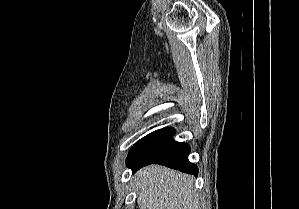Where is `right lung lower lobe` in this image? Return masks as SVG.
<instances>
[{
    "label": "right lung lower lobe",
    "instance_id": "98d812e1",
    "mask_svg": "<svg viewBox=\"0 0 299 209\" xmlns=\"http://www.w3.org/2000/svg\"><path fill=\"white\" fill-rule=\"evenodd\" d=\"M175 130L166 127L139 140L130 150L126 165L133 173L149 164H161L193 175L198 168L188 160L190 146L172 139Z\"/></svg>",
    "mask_w": 299,
    "mask_h": 209
}]
</instances>
